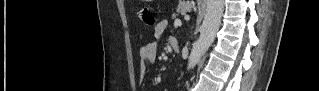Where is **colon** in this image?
<instances>
[{
	"label": "colon",
	"mask_w": 319,
	"mask_h": 91,
	"mask_svg": "<svg viewBox=\"0 0 319 91\" xmlns=\"http://www.w3.org/2000/svg\"><path fill=\"white\" fill-rule=\"evenodd\" d=\"M138 18L146 25V26H153L155 25V17L151 8L145 6L141 7L138 10Z\"/></svg>",
	"instance_id": "1"
}]
</instances>
